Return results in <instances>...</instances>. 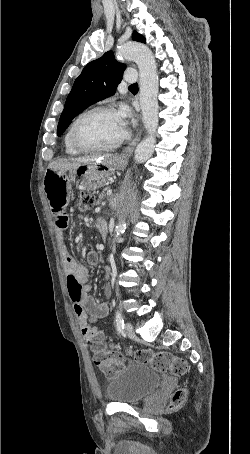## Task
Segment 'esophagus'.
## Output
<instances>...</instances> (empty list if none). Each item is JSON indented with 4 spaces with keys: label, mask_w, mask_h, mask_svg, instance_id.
I'll list each match as a JSON object with an SVG mask.
<instances>
[{
    "label": "esophagus",
    "mask_w": 250,
    "mask_h": 454,
    "mask_svg": "<svg viewBox=\"0 0 250 454\" xmlns=\"http://www.w3.org/2000/svg\"><path fill=\"white\" fill-rule=\"evenodd\" d=\"M141 133H142V130H139V132L137 133L136 137L133 139V141L128 145L126 146L123 151L119 154V159H122V160H128L136 146V144L139 142L140 138H141Z\"/></svg>",
    "instance_id": "34e87169"
}]
</instances>
